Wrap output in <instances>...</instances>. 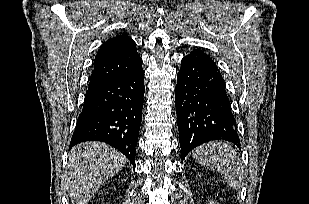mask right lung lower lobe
Returning a JSON list of instances; mask_svg holds the SVG:
<instances>
[{"instance_id":"obj_1","label":"right lung lower lobe","mask_w":309,"mask_h":204,"mask_svg":"<svg viewBox=\"0 0 309 204\" xmlns=\"http://www.w3.org/2000/svg\"><path fill=\"white\" fill-rule=\"evenodd\" d=\"M144 91L142 65L89 86L69 147L85 141H102L118 149L135 167Z\"/></svg>"}]
</instances>
